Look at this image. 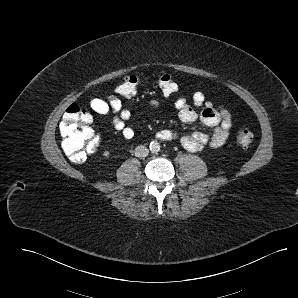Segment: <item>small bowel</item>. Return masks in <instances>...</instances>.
<instances>
[{"mask_svg":"<svg viewBox=\"0 0 298 298\" xmlns=\"http://www.w3.org/2000/svg\"><path fill=\"white\" fill-rule=\"evenodd\" d=\"M150 107H158L157 100L148 102ZM174 107L178 112L179 119L184 123H192L200 120L205 125L214 127L212 134L193 132L185 135H178L172 130L164 129L157 133L161 140L179 139L183 148L191 152H197L204 147L219 148L225 144L232 130L234 120L231 111L225 106H215L206 99L203 92H195L192 96V103L186 98L180 97L175 100ZM90 108L99 115L111 114L112 122L117 131L125 139H132L135 135L133 127L127 125L131 118V111L122 107V102L116 96L110 95L106 98H94L90 101ZM99 151V146L94 153ZM108 156V151H102Z\"/></svg>","mask_w":298,"mask_h":298,"instance_id":"1","label":"small bowel"}]
</instances>
